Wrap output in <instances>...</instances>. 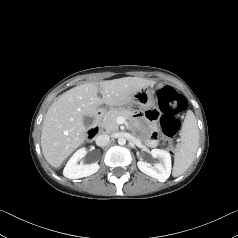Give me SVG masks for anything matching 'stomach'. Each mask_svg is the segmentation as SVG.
<instances>
[{"instance_id": "obj_1", "label": "stomach", "mask_w": 238, "mask_h": 238, "mask_svg": "<svg viewBox=\"0 0 238 238\" xmlns=\"http://www.w3.org/2000/svg\"><path fill=\"white\" fill-rule=\"evenodd\" d=\"M155 105L153 90L149 87L143 88L134 95L132 100H120L117 103V108L120 111H132L135 107L146 110Z\"/></svg>"}]
</instances>
